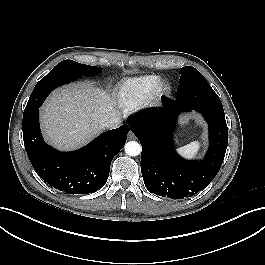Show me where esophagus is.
Masks as SVG:
<instances>
[{
	"label": "esophagus",
	"instance_id": "esophagus-1",
	"mask_svg": "<svg viewBox=\"0 0 265 265\" xmlns=\"http://www.w3.org/2000/svg\"><path fill=\"white\" fill-rule=\"evenodd\" d=\"M128 138L131 139V140H132V139H135V135H134V133L130 131V132L128 133Z\"/></svg>",
	"mask_w": 265,
	"mask_h": 265
}]
</instances>
